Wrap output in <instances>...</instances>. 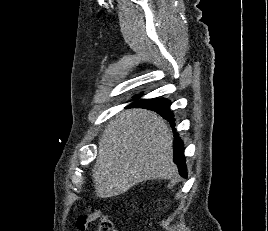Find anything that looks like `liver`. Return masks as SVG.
Instances as JSON below:
<instances>
[{"label":"liver","instance_id":"6515ba94","mask_svg":"<svg viewBox=\"0 0 268 231\" xmlns=\"http://www.w3.org/2000/svg\"><path fill=\"white\" fill-rule=\"evenodd\" d=\"M98 145L92 179L99 198L123 194L146 180L177 176L173 134L153 111L133 108L119 113L104 129Z\"/></svg>","mask_w":268,"mask_h":231}]
</instances>
